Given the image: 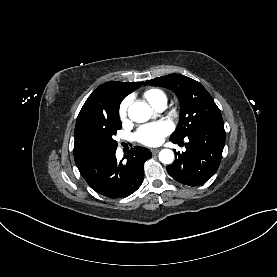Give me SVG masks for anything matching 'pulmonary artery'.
Here are the masks:
<instances>
[{
  "mask_svg": "<svg viewBox=\"0 0 277 277\" xmlns=\"http://www.w3.org/2000/svg\"><path fill=\"white\" fill-rule=\"evenodd\" d=\"M164 108H165V104H164V103H162V104H160V105H158V106L156 107V109H157L158 111H162Z\"/></svg>",
  "mask_w": 277,
  "mask_h": 277,
  "instance_id": "obj_1",
  "label": "pulmonary artery"
}]
</instances>
